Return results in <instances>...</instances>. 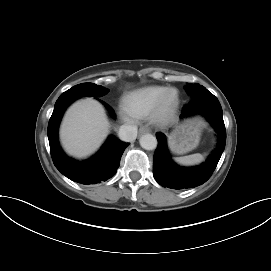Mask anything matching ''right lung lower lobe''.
I'll return each mask as SVG.
<instances>
[{
  "instance_id": "obj_1",
  "label": "right lung lower lobe",
  "mask_w": 271,
  "mask_h": 271,
  "mask_svg": "<svg viewBox=\"0 0 271 271\" xmlns=\"http://www.w3.org/2000/svg\"><path fill=\"white\" fill-rule=\"evenodd\" d=\"M75 98H58L48 124V139L51 156L56 168L67 178L81 184H96L106 181L116 173L121 156L129 143L121 142L110 136L100 151L86 161L78 162L67 157L58 142V126L65 109ZM110 114L115 117L113 110L104 103Z\"/></svg>"
}]
</instances>
